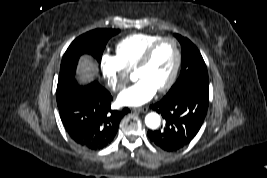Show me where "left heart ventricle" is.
Segmentation results:
<instances>
[{
    "label": "left heart ventricle",
    "instance_id": "left-heart-ventricle-1",
    "mask_svg": "<svg viewBox=\"0 0 267 178\" xmlns=\"http://www.w3.org/2000/svg\"><path fill=\"white\" fill-rule=\"evenodd\" d=\"M175 58L173 44L170 41H166L157 48L150 63L135 72V77L148 80L158 89L168 80Z\"/></svg>",
    "mask_w": 267,
    "mask_h": 178
}]
</instances>
